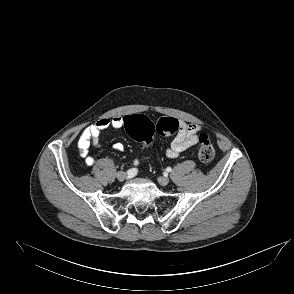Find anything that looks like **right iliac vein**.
<instances>
[{
  "mask_svg": "<svg viewBox=\"0 0 294 294\" xmlns=\"http://www.w3.org/2000/svg\"><path fill=\"white\" fill-rule=\"evenodd\" d=\"M116 177H117L118 181L122 182V181H124L125 178H126V173L120 171V172L117 173Z\"/></svg>",
  "mask_w": 294,
  "mask_h": 294,
  "instance_id": "obj_1",
  "label": "right iliac vein"
}]
</instances>
